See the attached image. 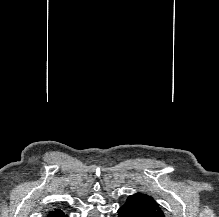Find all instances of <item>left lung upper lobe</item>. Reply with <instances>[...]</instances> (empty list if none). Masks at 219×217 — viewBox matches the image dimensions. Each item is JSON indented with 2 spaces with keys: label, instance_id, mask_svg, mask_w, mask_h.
Listing matches in <instances>:
<instances>
[{
  "label": "left lung upper lobe",
  "instance_id": "obj_1",
  "mask_svg": "<svg viewBox=\"0 0 219 217\" xmlns=\"http://www.w3.org/2000/svg\"><path fill=\"white\" fill-rule=\"evenodd\" d=\"M127 202L133 203L146 217H165L158 203L147 194L136 193L129 196Z\"/></svg>",
  "mask_w": 219,
  "mask_h": 217
}]
</instances>
